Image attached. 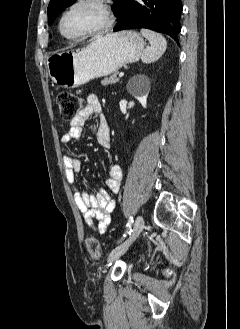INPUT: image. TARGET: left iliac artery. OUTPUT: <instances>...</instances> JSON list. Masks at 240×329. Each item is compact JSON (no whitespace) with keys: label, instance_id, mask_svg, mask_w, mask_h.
Instances as JSON below:
<instances>
[{"label":"left iliac artery","instance_id":"44dca946","mask_svg":"<svg viewBox=\"0 0 240 329\" xmlns=\"http://www.w3.org/2000/svg\"><path fill=\"white\" fill-rule=\"evenodd\" d=\"M132 225H133V217L130 216L128 223H127V228H126V233L123 235V237H126V234H131L132 232Z\"/></svg>","mask_w":240,"mask_h":329}]
</instances>
